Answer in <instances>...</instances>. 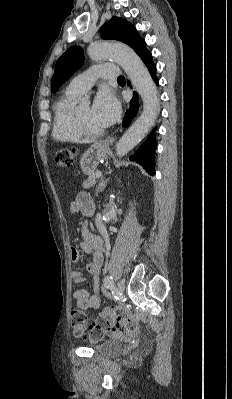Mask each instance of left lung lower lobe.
<instances>
[{"instance_id": "left-lung-lower-lobe-1", "label": "left lung lower lobe", "mask_w": 232, "mask_h": 399, "mask_svg": "<svg viewBox=\"0 0 232 399\" xmlns=\"http://www.w3.org/2000/svg\"><path fill=\"white\" fill-rule=\"evenodd\" d=\"M138 56L142 59L146 67L148 68L154 82L158 85V79L156 77V65L152 60L151 53L146 49L145 45L142 46L137 52ZM128 85L130 82L128 81ZM139 109V97L136 92H133V98L130 102V108L126 111L125 117L123 119V127H127L132 118L137 114ZM154 131L148 136L147 140L138 148L136 153L130 156L131 161H136L141 166L144 167L146 172L150 175L155 174V166H154V150L156 146Z\"/></svg>"}]
</instances>
